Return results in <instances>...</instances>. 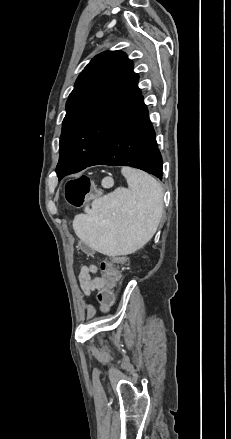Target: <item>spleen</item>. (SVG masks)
I'll use <instances>...</instances> for the list:
<instances>
[{
    "label": "spleen",
    "instance_id": "spleen-1",
    "mask_svg": "<svg viewBox=\"0 0 231 439\" xmlns=\"http://www.w3.org/2000/svg\"><path fill=\"white\" fill-rule=\"evenodd\" d=\"M128 188L119 187L94 200L74 218L77 236L95 250L115 256L131 254L156 233L163 213V190L151 175L121 169Z\"/></svg>",
    "mask_w": 231,
    "mask_h": 439
}]
</instances>
